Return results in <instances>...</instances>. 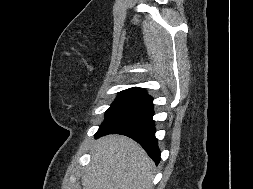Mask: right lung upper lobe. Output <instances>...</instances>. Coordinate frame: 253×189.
<instances>
[{"instance_id": "cb5924a9", "label": "right lung upper lobe", "mask_w": 253, "mask_h": 189, "mask_svg": "<svg viewBox=\"0 0 253 189\" xmlns=\"http://www.w3.org/2000/svg\"><path fill=\"white\" fill-rule=\"evenodd\" d=\"M130 90H137V91H143V92H145V90H144V89H142V88H138V87L131 88Z\"/></svg>"}]
</instances>
